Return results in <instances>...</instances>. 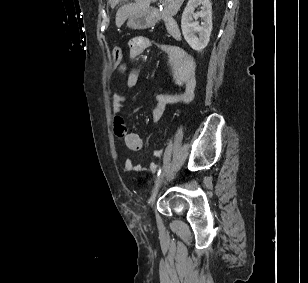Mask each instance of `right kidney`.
Here are the masks:
<instances>
[{
  "instance_id": "1",
  "label": "right kidney",
  "mask_w": 308,
  "mask_h": 283,
  "mask_svg": "<svg viewBox=\"0 0 308 283\" xmlns=\"http://www.w3.org/2000/svg\"><path fill=\"white\" fill-rule=\"evenodd\" d=\"M201 5V11L194 13ZM203 22L199 25L197 21ZM195 19V21H193ZM181 29L184 39L195 51H202L208 44L212 31V4L210 0H189L181 18ZM198 33V37L195 35Z\"/></svg>"
}]
</instances>
